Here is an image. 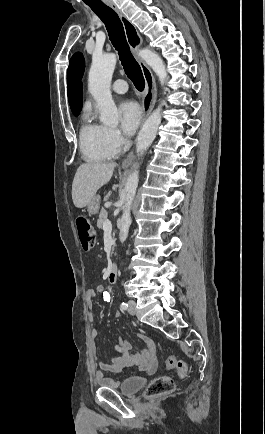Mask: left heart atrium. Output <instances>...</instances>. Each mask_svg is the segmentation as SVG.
Instances as JSON below:
<instances>
[{
    "label": "left heart atrium",
    "mask_w": 265,
    "mask_h": 434,
    "mask_svg": "<svg viewBox=\"0 0 265 434\" xmlns=\"http://www.w3.org/2000/svg\"><path fill=\"white\" fill-rule=\"evenodd\" d=\"M120 127L126 135H132L141 120V109L135 101H124L119 106Z\"/></svg>",
    "instance_id": "left-heart-atrium-1"
}]
</instances>
